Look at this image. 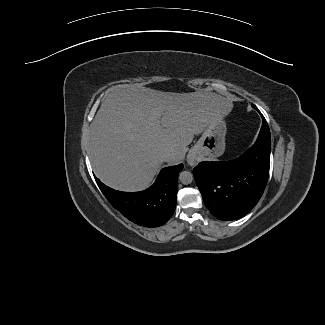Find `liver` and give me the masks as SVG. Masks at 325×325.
I'll use <instances>...</instances> for the list:
<instances>
[{
	"mask_svg": "<svg viewBox=\"0 0 325 325\" xmlns=\"http://www.w3.org/2000/svg\"><path fill=\"white\" fill-rule=\"evenodd\" d=\"M232 107L229 98L212 92L115 86L90 125L88 153L93 170L111 188L141 190L164 162L162 152H172L170 164L180 163L195 133L223 118Z\"/></svg>",
	"mask_w": 325,
	"mask_h": 325,
	"instance_id": "obj_1",
	"label": "liver"
}]
</instances>
